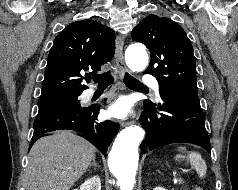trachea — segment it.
Returning <instances> with one entry per match:
<instances>
[{
  "instance_id": "1",
  "label": "trachea",
  "mask_w": 238,
  "mask_h": 190,
  "mask_svg": "<svg viewBox=\"0 0 238 190\" xmlns=\"http://www.w3.org/2000/svg\"><path fill=\"white\" fill-rule=\"evenodd\" d=\"M93 81L98 83L99 86L107 87L113 83L114 78L110 72H106V73L94 76ZM124 83L126 84V86L131 88H147L145 85H143L141 82H139L137 79H135L128 73H125Z\"/></svg>"
}]
</instances>
